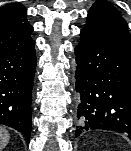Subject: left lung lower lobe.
Masks as SVG:
<instances>
[{"mask_svg": "<svg viewBox=\"0 0 131 151\" xmlns=\"http://www.w3.org/2000/svg\"><path fill=\"white\" fill-rule=\"evenodd\" d=\"M80 36L75 46L79 95L75 137L104 130L131 140V55Z\"/></svg>", "mask_w": 131, "mask_h": 151, "instance_id": "1", "label": "left lung lower lobe"}]
</instances>
